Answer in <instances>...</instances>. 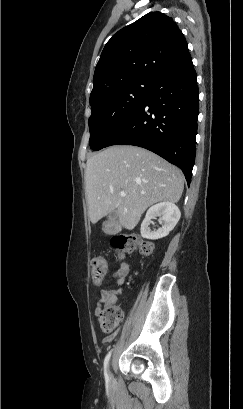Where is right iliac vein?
<instances>
[{"mask_svg": "<svg viewBox=\"0 0 243 409\" xmlns=\"http://www.w3.org/2000/svg\"><path fill=\"white\" fill-rule=\"evenodd\" d=\"M108 373H109V378L112 379V373H111L110 369H109Z\"/></svg>", "mask_w": 243, "mask_h": 409, "instance_id": "1", "label": "right iliac vein"}]
</instances>
